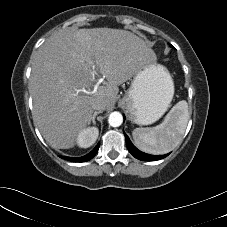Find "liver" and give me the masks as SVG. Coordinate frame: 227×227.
<instances>
[{
    "instance_id": "liver-1",
    "label": "liver",
    "mask_w": 227,
    "mask_h": 227,
    "mask_svg": "<svg viewBox=\"0 0 227 227\" xmlns=\"http://www.w3.org/2000/svg\"><path fill=\"white\" fill-rule=\"evenodd\" d=\"M156 54L144 40L125 30H61L38 49L32 63L33 117L44 139L56 149L75 146L91 122L93 104L113 106L118 86L130 80ZM97 69L106 78L95 83Z\"/></svg>"
}]
</instances>
